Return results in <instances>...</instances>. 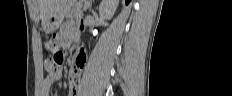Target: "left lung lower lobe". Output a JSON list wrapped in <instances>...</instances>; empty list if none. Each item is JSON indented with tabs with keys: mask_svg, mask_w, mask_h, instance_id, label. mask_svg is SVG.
I'll use <instances>...</instances> for the list:
<instances>
[{
	"mask_svg": "<svg viewBox=\"0 0 232 96\" xmlns=\"http://www.w3.org/2000/svg\"><path fill=\"white\" fill-rule=\"evenodd\" d=\"M126 1V4H128L130 2V0H125Z\"/></svg>",
	"mask_w": 232,
	"mask_h": 96,
	"instance_id": "0a47b994",
	"label": "left lung lower lobe"
}]
</instances>
